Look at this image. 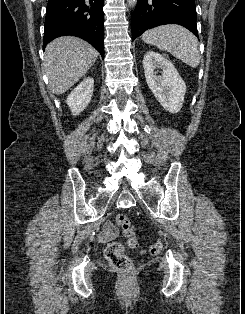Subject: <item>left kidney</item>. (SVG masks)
Returning <instances> with one entry per match:
<instances>
[{"mask_svg": "<svg viewBox=\"0 0 245 314\" xmlns=\"http://www.w3.org/2000/svg\"><path fill=\"white\" fill-rule=\"evenodd\" d=\"M148 87L160 105L169 113H178L184 103L186 85L174 65L163 55L148 51L143 57ZM162 69V76L156 69Z\"/></svg>", "mask_w": 245, "mask_h": 314, "instance_id": "1", "label": "left kidney"}]
</instances>
